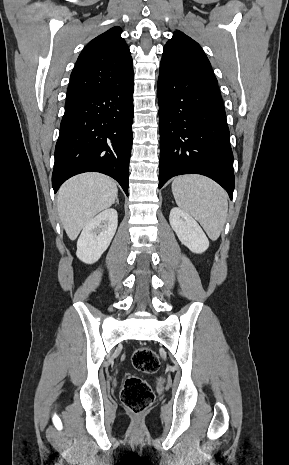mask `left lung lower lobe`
<instances>
[{
	"label": "left lung lower lobe",
	"instance_id": "left-lung-lower-lobe-1",
	"mask_svg": "<svg viewBox=\"0 0 289 465\" xmlns=\"http://www.w3.org/2000/svg\"><path fill=\"white\" fill-rule=\"evenodd\" d=\"M159 188L181 174H202L234 190L233 153L217 82L159 74Z\"/></svg>",
	"mask_w": 289,
	"mask_h": 465
}]
</instances>
